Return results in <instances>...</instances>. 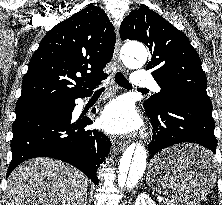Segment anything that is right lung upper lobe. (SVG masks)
I'll return each mask as SVG.
<instances>
[{"instance_id":"right-lung-upper-lobe-1","label":"right lung upper lobe","mask_w":222,"mask_h":205,"mask_svg":"<svg viewBox=\"0 0 222 205\" xmlns=\"http://www.w3.org/2000/svg\"><path fill=\"white\" fill-rule=\"evenodd\" d=\"M116 36L103 9L88 6L53 27L33 54L17 104L69 102L94 88L107 74Z\"/></svg>"}]
</instances>
